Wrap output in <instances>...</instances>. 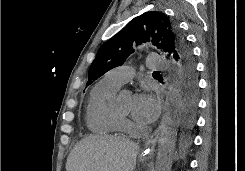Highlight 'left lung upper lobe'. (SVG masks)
Returning <instances> with one entry per match:
<instances>
[{"label":"left lung upper lobe","instance_id":"left-lung-upper-lobe-1","mask_svg":"<svg viewBox=\"0 0 245 171\" xmlns=\"http://www.w3.org/2000/svg\"><path fill=\"white\" fill-rule=\"evenodd\" d=\"M150 41L168 52L175 61H193L191 50L177 24L162 12H145L100 47L90 66L86 86L107 71L121 66L134 52V43Z\"/></svg>","mask_w":245,"mask_h":171}]
</instances>
